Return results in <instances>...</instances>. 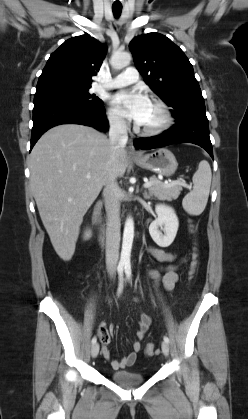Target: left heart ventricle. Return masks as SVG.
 Masks as SVG:
<instances>
[{
  "label": "left heart ventricle",
  "instance_id": "obj_1",
  "mask_svg": "<svg viewBox=\"0 0 248 419\" xmlns=\"http://www.w3.org/2000/svg\"><path fill=\"white\" fill-rule=\"evenodd\" d=\"M162 115L159 109L150 103L145 119L140 123L142 127H152L160 123Z\"/></svg>",
  "mask_w": 248,
  "mask_h": 419
}]
</instances>
